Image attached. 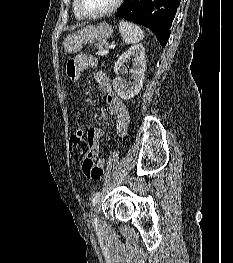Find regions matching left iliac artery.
Here are the masks:
<instances>
[{
    "instance_id": "44dca946",
    "label": "left iliac artery",
    "mask_w": 233,
    "mask_h": 263,
    "mask_svg": "<svg viewBox=\"0 0 233 263\" xmlns=\"http://www.w3.org/2000/svg\"><path fill=\"white\" fill-rule=\"evenodd\" d=\"M100 197V192H97L94 194V197L92 199V204L93 206H95V204L97 203V201L99 200ZM93 223L95 224V226L97 227V218L93 219Z\"/></svg>"
}]
</instances>
